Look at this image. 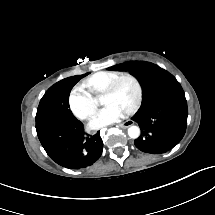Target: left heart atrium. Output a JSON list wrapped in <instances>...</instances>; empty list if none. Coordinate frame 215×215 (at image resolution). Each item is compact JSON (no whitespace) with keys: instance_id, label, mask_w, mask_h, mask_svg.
<instances>
[{"instance_id":"obj_1","label":"left heart atrium","mask_w":215,"mask_h":215,"mask_svg":"<svg viewBox=\"0 0 215 215\" xmlns=\"http://www.w3.org/2000/svg\"><path fill=\"white\" fill-rule=\"evenodd\" d=\"M124 114V109L119 104H111L98 112L92 121V126L96 130H101L104 126L112 125L120 121Z\"/></svg>"}]
</instances>
